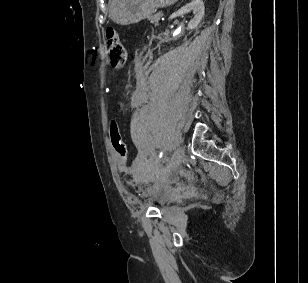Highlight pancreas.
I'll use <instances>...</instances> for the list:
<instances>
[{"mask_svg":"<svg viewBox=\"0 0 308 283\" xmlns=\"http://www.w3.org/2000/svg\"><path fill=\"white\" fill-rule=\"evenodd\" d=\"M149 20L152 24H154L155 26H158V22L160 20V16H159V13H156L155 15L153 16H150L149 17Z\"/></svg>","mask_w":308,"mask_h":283,"instance_id":"pancreas-1","label":"pancreas"}]
</instances>
